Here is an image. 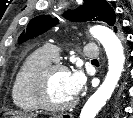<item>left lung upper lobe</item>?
Masks as SVG:
<instances>
[{
	"label": "left lung upper lobe",
	"instance_id": "5c2ea615",
	"mask_svg": "<svg viewBox=\"0 0 133 118\" xmlns=\"http://www.w3.org/2000/svg\"><path fill=\"white\" fill-rule=\"evenodd\" d=\"M64 17L71 21H103L110 26H113L116 20L114 10L105 0H84L83 6L79 7L75 13L67 11L64 13ZM57 23V18L40 15L29 22L27 33L21 34L19 41H25L28 37L40 35Z\"/></svg>",
	"mask_w": 133,
	"mask_h": 118
}]
</instances>
